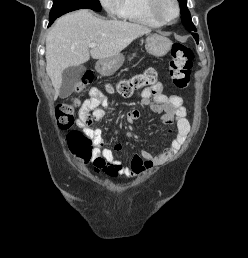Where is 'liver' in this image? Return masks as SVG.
<instances>
[{"label":"liver","mask_w":248,"mask_h":258,"mask_svg":"<svg viewBox=\"0 0 248 258\" xmlns=\"http://www.w3.org/2000/svg\"><path fill=\"white\" fill-rule=\"evenodd\" d=\"M151 30L119 20H103L88 9L66 14L55 22L46 38V72L59 95L63 71L93 59L114 57L132 41ZM90 43L97 46L90 48Z\"/></svg>","instance_id":"obj_1"}]
</instances>
